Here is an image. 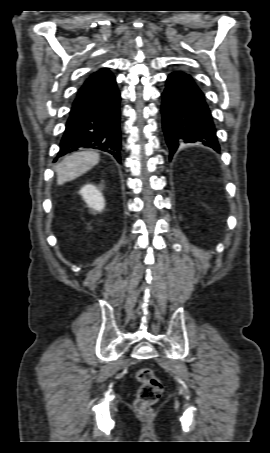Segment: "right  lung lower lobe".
Returning a JSON list of instances; mask_svg holds the SVG:
<instances>
[{
  "instance_id": "obj_1",
  "label": "right lung lower lobe",
  "mask_w": 270,
  "mask_h": 453,
  "mask_svg": "<svg viewBox=\"0 0 270 453\" xmlns=\"http://www.w3.org/2000/svg\"><path fill=\"white\" fill-rule=\"evenodd\" d=\"M119 104L113 74L102 69L91 75L72 104L57 158L80 148H94L112 154L120 162Z\"/></svg>"
}]
</instances>
